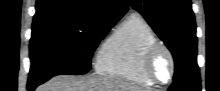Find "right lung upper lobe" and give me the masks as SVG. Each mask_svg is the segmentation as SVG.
Segmentation results:
<instances>
[{"label": "right lung upper lobe", "mask_w": 220, "mask_h": 91, "mask_svg": "<svg viewBox=\"0 0 220 91\" xmlns=\"http://www.w3.org/2000/svg\"><path fill=\"white\" fill-rule=\"evenodd\" d=\"M127 9L126 0H37L33 24L69 21L114 26Z\"/></svg>", "instance_id": "obj_1"}]
</instances>
